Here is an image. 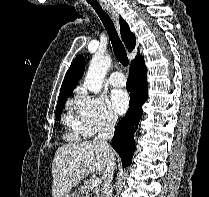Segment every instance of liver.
Returning <instances> with one entry per match:
<instances>
[{"mask_svg":"<svg viewBox=\"0 0 209 197\" xmlns=\"http://www.w3.org/2000/svg\"><path fill=\"white\" fill-rule=\"evenodd\" d=\"M110 156L95 139L59 147L52 162V197H63L89 174L104 170Z\"/></svg>","mask_w":209,"mask_h":197,"instance_id":"6515ba94","label":"liver"}]
</instances>
